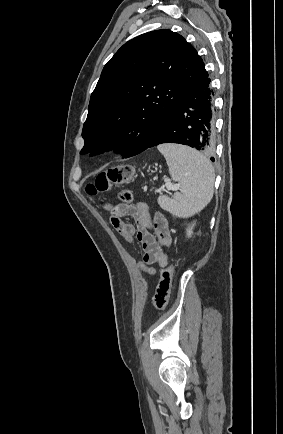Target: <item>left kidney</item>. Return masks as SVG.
<instances>
[{
	"label": "left kidney",
	"instance_id": "left-kidney-1",
	"mask_svg": "<svg viewBox=\"0 0 283 434\" xmlns=\"http://www.w3.org/2000/svg\"><path fill=\"white\" fill-rule=\"evenodd\" d=\"M196 222L194 221L193 223H191V225L188 226L187 228V236L188 238L192 236L193 234V228L195 226Z\"/></svg>",
	"mask_w": 283,
	"mask_h": 434
}]
</instances>
